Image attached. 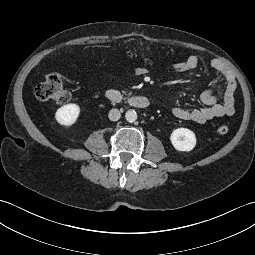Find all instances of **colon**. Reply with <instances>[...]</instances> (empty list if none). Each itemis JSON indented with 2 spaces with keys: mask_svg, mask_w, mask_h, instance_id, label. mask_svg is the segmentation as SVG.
I'll use <instances>...</instances> for the list:
<instances>
[{
  "mask_svg": "<svg viewBox=\"0 0 255 255\" xmlns=\"http://www.w3.org/2000/svg\"><path fill=\"white\" fill-rule=\"evenodd\" d=\"M36 98L41 101H50L57 104H64L69 101L70 93L65 88L61 76L57 73H49L44 80L40 82L34 90ZM229 131L228 126L221 125L217 132L225 135Z\"/></svg>",
  "mask_w": 255,
  "mask_h": 255,
  "instance_id": "obj_1",
  "label": "colon"
}]
</instances>
